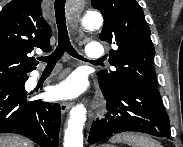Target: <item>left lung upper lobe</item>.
Masks as SVG:
<instances>
[{"mask_svg": "<svg viewBox=\"0 0 183 147\" xmlns=\"http://www.w3.org/2000/svg\"><path fill=\"white\" fill-rule=\"evenodd\" d=\"M92 7L104 17L100 40L116 45L109 52V63L116 71L97 73L100 87L114 91L127 82L157 87L153 67L155 49L150 28L136 0H92Z\"/></svg>", "mask_w": 183, "mask_h": 147, "instance_id": "left-lung-upper-lobe-1", "label": "left lung upper lobe"}]
</instances>
